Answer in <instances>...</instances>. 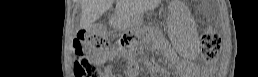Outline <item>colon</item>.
<instances>
[{
    "instance_id": "obj_1",
    "label": "colon",
    "mask_w": 258,
    "mask_h": 77,
    "mask_svg": "<svg viewBox=\"0 0 258 77\" xmlns=\"http://www.w3.org/2000/svg\"><path fill=\"white\" fill-rule=\"evenodd\" d=\"M131 34L125 33L121 37L123 45L130 44ZM76 47L75 57V73L81 77L91 72L89 60L83 53V49L101 50L108 46V38L106 27L101 23H96L88 28L81 29L75 40ZM202 56L206 61H212L218 57L220 53V38L217 33L210 29L205 30L201 38Z\"/></svg>"
}]
</instances>
